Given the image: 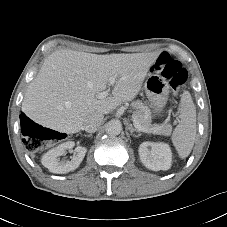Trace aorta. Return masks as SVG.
Wrapping results in <instances>:
<instances>
[{"mask_svg":"<svg viewBox=\"0 0 227 227\" xmlns=\"http://www.w3.org/2000/svg\"><path fill=\"white\" fill-rule=\"evenodd\" d=\"M105 131L111 136L119 135L122 131V124L119 120H111L106 124Z\"/></svg>","mask_w":227,"mask_h":227,"instance_id":"aorta-1","label":"aorta"}]
</instances>
